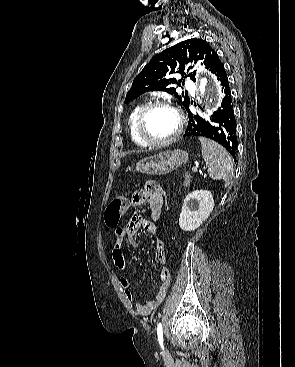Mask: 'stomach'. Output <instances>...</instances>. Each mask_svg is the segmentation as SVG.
I'll return each mask as SVG.
<instances>
[{
  "instance_id": "1",
  "label": "stomach",
  "mask_w": 295,
  "mask_h": 367,
  "mask_svg": "<svg viewBox=\"0 0 295 367\" xmlns=\"http://www.w3.org/2000/svg\"><path fill=\"white\" fill-rule=\"evenodd\" d=\"M188 156V152L180 149L164 151L139 161L136 169L150 175L168 174L185 164Z\"/></svg>"
}]
</instances>
